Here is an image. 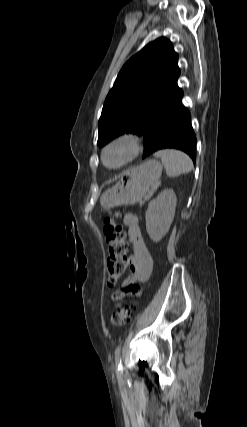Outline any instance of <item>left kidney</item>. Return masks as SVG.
Segmentation results:
<instances>
[{"label":"left kidney","instance_id":"5707ae66","mask_svg":"<svg viewBox=\"0 0 247 427\" xmlns=\"http://www.w3.org/2000/svg\"><path fill=\"white\" fill-rule=\"evenodd\" d=\"M176 194L172 189H165L150 201L145 214L146 230L150 239L158 243L167 234L175 215Z\"/></svg>","mask_w":247,"mask_h":427}]
</instances>
